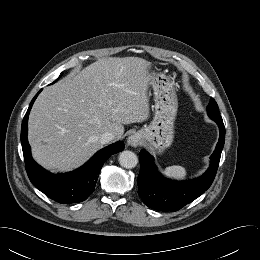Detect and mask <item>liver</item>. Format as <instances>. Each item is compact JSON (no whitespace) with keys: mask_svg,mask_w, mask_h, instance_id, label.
I'll return each mask as SVG.
<instances>
[{"mask_svg":"<svg viewBox=\"0 0 260 260\" xmlns=\"http://www.w3.org/2000/svg\"><path fill=\"white\" fill-rule=\"evenodd\" d=\"M150 67L138 57L104 58L45 88L28 121L36 162L51 171L73 170L102 147L103 133L119 140L123 124L145 121Z\"/></svg>","mask_w":260,"mask_h":260,"instance_id":"obj_1","label":"liver"}]
</instances>
